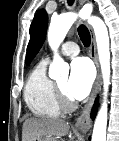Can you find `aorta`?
<instances>
[{
	"instance_id": "762f6f07",
	"label": "aorta",
	"mask_w": 119,
	"mask_h": 141,
	"mask_svg": "<svg viewBox=\"0 0 119 141\" xmlns=\"http://www.w3.org/2000/svg\"><path fill=\"white\" fill-rule=\"evenodd\" d=\"M78 16L82 19H87L88 23L94 29L104 84V101L94 123L92 141H106V98L108 86L110 84V44L108 30L102 19L96 16H91L90 13H86L83 10L78 14L68 12L52 18L48 29V42L51 49L55 52V55L53 62L49 67V76L52 79L68 76L69 66L56 52Z\"/></svg>"
}]
</instances>
